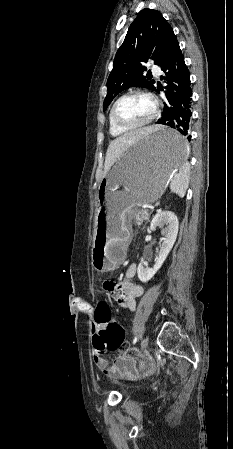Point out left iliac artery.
Instances as JSON below:
<instances>
[{"label":"left iliac artery","instance_id":"left-iliac-artery-1","mask_svg":"<svg viewBox=\"0 0 233 449\" xmlns=\"http://www.w3.org/2000/svg\"><path fill=\"white\" fill-rule=\"evenodd\" d=\"M138 339H139V336H135L134 340H133V344H135L138 341Z\"/></svg>","mask_w":233,"mask_h":449}]
</instances>
